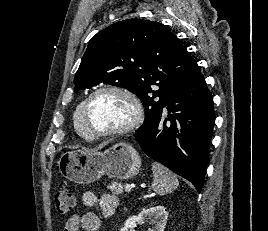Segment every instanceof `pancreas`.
Instances as JSON below:
<instances>
[{"mask_svg":"<svg viewBox=\"0 0 268 231\" xmlns=\"http://www.w3.org/2000/svg\"><path fill=\"white\" fill-rule=\"evenodd\" d=\"M113 195H119L124 192V185L121 182H112L110 185L107 186Z\"/></svg>","mask_w":268,"mask_h":231,"instance_id":"cf45deb5","label":"pancreas"}]
</instances>
